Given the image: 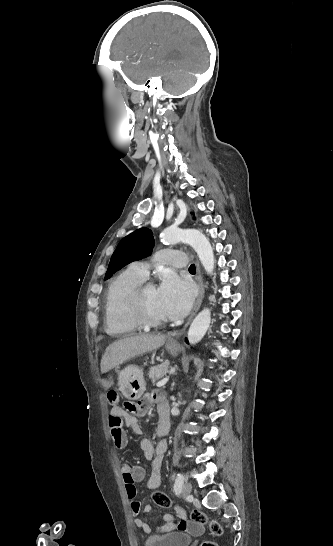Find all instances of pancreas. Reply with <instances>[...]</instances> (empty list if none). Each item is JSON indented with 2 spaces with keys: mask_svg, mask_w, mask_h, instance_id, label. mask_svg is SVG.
<instances>
[{
  "mask_svg": "<svg viewBox=\"0 0 333 546\" xmlns=\"http://www.w3.org/2000/svg\"><path fill=\"white\" fill-rule=\"evenodd\" d=\"M169 369V362L166 361L158 366L151 367L148 373V376L154 382L162 377H164Z\"/></svg>",
  "mask_w": 333,
  "mask_h": 546,
  "instance_id": "obj_1",
  "label": "pancreas"
}]
</instances>
